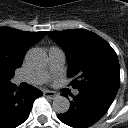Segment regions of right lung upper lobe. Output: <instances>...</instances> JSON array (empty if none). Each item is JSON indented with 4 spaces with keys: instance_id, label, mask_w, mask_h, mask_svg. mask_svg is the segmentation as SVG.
<instances>
[{
    "instance_id": "1",
    "label": "right lung upper lobe",
    "mask_w": 128,
    "mask_h": 128,
    "mask_svg": "<svg viewBox=\"0 0 128 128\" xmlns=\"http://www.w3.org/2000/svg\"><path fill=\"white\" fill-rule=\"evenodd\" d=\"M46 33L0 28V86L10 82L15 70L22 65L25 52Z\"/></svg>"
}]
</instances>
